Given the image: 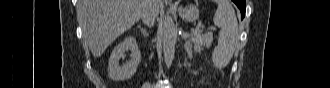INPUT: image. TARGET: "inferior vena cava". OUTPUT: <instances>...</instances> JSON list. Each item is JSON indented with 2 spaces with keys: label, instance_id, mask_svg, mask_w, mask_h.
Segmentation results:
<instances>
[{
  "label": "inferior vena cava",
  "instance_id": "602c4592",
  "mask_svg": "<svg viewBox=\"0 0 330 88\" xmlns=\"http://www.w3.org/2000/svg\"><path fill=\"white\" fill-rule=\"evenodd\" d=\"M156 0H148L147 6L142 13V20L148 26H153L155 19L158 15V11L155 8Z\"/></svg>",
  "mask_w": 330,
  "mask_h": 88
}]
</instances>
